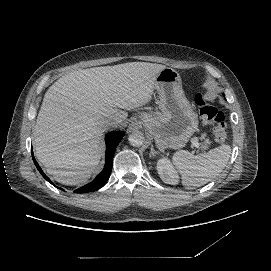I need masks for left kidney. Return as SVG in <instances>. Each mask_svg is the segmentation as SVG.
Masks as SVG:
<instances>
[{
  "label": "left kidney",
  "mask_w": 271,
  "mask_h": 271,
  "mask_svg": "<svg viewBox=\"0 0 271 271\" xmlns=\"http://www.w3.org/2000/svg\"><path fill=\"white\" fill-rule=\"evenodd\" d=\"M157 167L160 178L165 183H174L176 181V174L167 159L159 161Z\"/></svg>",
  "instance_id": "5707ae66"
}]
</instances>
